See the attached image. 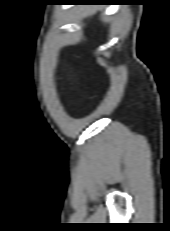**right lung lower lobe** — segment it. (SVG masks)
Instances as JSON below:
<instances>
[{
	"mask_svg": "<svg viewBox=\"0 0 170 231\" xmlns=\"http://www.w3.org/2000/svg\"><path fill=\"white\" fill-rule=\"evenodd\" d=\"M84 2H104V1H110V0H80Z\"/></svg>",
	"mask_w": 170,
	"mask_h": 231,
	"instance_id": "obj_1",
	"label": "right lung lower lobe"
}]
</instances>
